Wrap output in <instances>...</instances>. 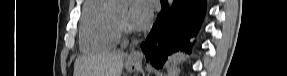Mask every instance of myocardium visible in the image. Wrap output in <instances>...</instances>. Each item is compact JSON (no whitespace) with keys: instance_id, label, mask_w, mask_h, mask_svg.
Wrapping results in <instances>:
<instances>
[{"instance_id":"obj_1","label":"myocardium","mask_w":287,"mask_h":76,"mask_svg":"<svg viewBox=\"0 0 287 76\" xmlns=\"http://www.w3.org/2000/svg\"><path fill=\"white\" fill-rule=\"evenodd\" d=\"M112 19H113V24L116 28V30L118 31V33L121 35H130L133 33L132 29L129 27L128 24L122 22L121 20H119L117 18V16L115 15V13H112Z\"/></svg>"}]
</instances>
